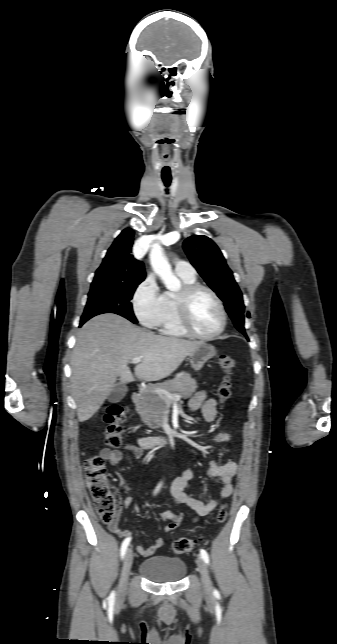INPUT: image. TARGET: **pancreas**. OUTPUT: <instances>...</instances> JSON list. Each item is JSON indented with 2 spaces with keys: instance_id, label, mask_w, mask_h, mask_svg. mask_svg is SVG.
<instances>
[{
  "instance_id": "obj_1",
  "label": "pancreas",
  "mask_w": 337,
  "mask_h": 644,
  "mask_svg": "<svg viewBox=\"0 0 337 644\" xmlns=\"http://www.w3.org/2000/svg\"><path fill=\"white\" fill-rule=\"evenodd\" d=\"M196 381L189 374L175 377L172 380L150 385L141 390L140 401L137 403V411L141 420L150 428L162 426V418L165 411L167 399L155 392V389H164L171 394H178L182 398H190L197 389Z\"/></svg>"
}]
</instances>
